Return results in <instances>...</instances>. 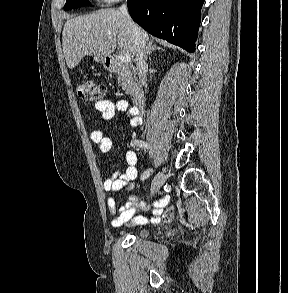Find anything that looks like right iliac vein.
<instances>
[{
    "mask_svg": "<svg viewBox=\"0 0 288 293\" xmlns=\"http://www.w3.org/2000/svg\"><path fill=\"white\" fill-rule=\"evenodd\" d=\"M165 180L166 178L164 173L158 172L152 182L150 197L154 196L159 191L161 186L165 183Z\"/></svg>",
    "mask_w": 288,
    "mask_h": 293,
    "instance_id": "obj_1",
    "label": "right iliac vein"
}]
</instances>
